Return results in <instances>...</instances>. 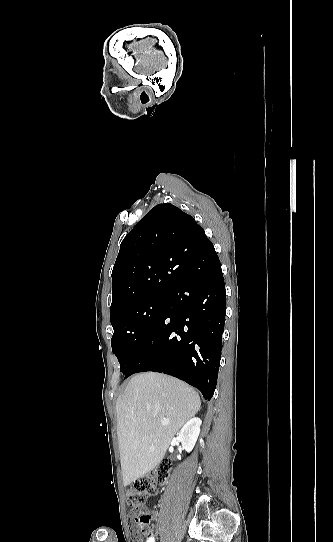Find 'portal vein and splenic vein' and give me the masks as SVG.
I'll return each mask as SVG.
<instances>
[{
	"mask_svg": "<svg viewBox=\"0 0 333 542\" xmlns=\"http://www.w3.org/2000/svg\"><path fill=\"white\" fill-rule=\"evenodd\" d=\"M145 422V420H144ZM162 426H168L169 422H161Z\"/></svg>",
	"mask_w": 333,
	"mask_h": 542,
	"instance_id": "1",
	"label": "portal vein and splenic vein"
}]
</instances>
